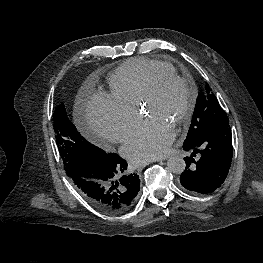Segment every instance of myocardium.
Returning a JSON list of instances; mask_svg holds the SVG:
<instances>
[{
    "label": "myocardium",
    "instance_id": "obj_1",
    "mask_svg": "<svg viewBox=\"0 0 263 263\" xmlns=\"http://www.w3.org/2000/svg\"><path fill=\"white\" fill-rule=\"evenodd\" d=\"M168 81H176L184 86L188 92V104L184 112L178 117L175 122V127H181L188 123L191 119L198 100V91L196 87L184 76L177 74L176 72H164L156 75L151 83L146 88L141 100L140 108H144L145 105L156 97L164 83Z\"/></svg>",
    "mask_w": 263,
    "mask_h": 263
}]
</instances>
